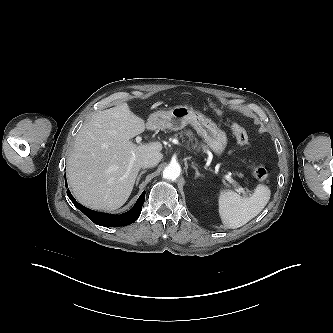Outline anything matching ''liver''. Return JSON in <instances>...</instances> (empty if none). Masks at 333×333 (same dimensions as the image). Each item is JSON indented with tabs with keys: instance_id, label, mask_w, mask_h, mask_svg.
Instances as JSON below:
<instances>
[{
	"instance_id": "1",
	"label": "liver",
	"mask_w": 333,
	"mask_h": 333,
	"mask_svg": "<svg viewBox=\"0 0 333 333\" xmlns=\"http://www.w3.org/2000/svg\"><path fill=\"white\" fill-rule=\"evenodd\" d=\"M152 128L127 104L94 113L76 135L67 163L76 199L97 210H116L129 198L145 155L162 144L136 145L131 139Z\"/></svg>"
}]
</instances>
